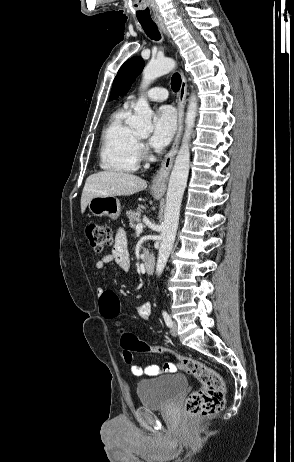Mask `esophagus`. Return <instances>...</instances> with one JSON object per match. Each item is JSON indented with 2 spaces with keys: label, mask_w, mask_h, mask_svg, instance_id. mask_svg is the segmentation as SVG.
I'll return each mask as SVG.
<instances>
[{
  "label": "esophagus",
  "mask_w": 294,
  "mask_h": 462,
  "mask_svg": "<svg viewBox=\"0 0 294 462\" xmlns=\"http://www.w3.org/2000/svg\"><path fill=\"white\" fill-rule=\"evenodd\" d=\"M159 28L163 31V33L170 38V34L166 28V25L163 21L157 22ZM186 97H187V82L184 74H181V86L178 94V102H177V110H178V128L177 132L172 144L171 149L166 154L158 172L156 173L152 184L151 190L154 192L164 193L167 186V181L169 178L170 171L173 166V161L175 155L178 151L182 131H183V121H184V111L186 105Z\"/></svg>",
  "instance_id": "obj_1"
}]
</instances>
